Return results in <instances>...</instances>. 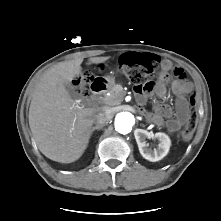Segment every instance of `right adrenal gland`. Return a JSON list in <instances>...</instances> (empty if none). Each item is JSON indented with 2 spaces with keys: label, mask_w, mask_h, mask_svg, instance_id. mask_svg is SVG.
<instances>
[{
  "label": "right adrenal gland",
  "mask_w": 221,
  "mask_h": 221,
  "mask_svg": "<svg viewBox=\"0 0 221 221\" xmlns=\"http://www.w3.org/2000/svg\"><path fill=\"white\" fill-rule=\"evenodd\" d=\"M101 129H102V127H99V126L92 127V129H91V134H93V132H94L95 130H101Z\"/></svg>",
  "instance_id": "obj_1"
}]
</instances>
